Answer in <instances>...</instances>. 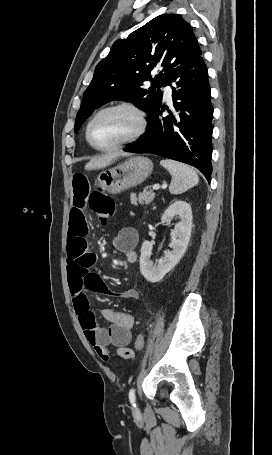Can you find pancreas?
Returning a JSON list of instances; mask_svg holds the SVG:
<instances>
[{
    "label": "pancreas",
    "mask_w": 272,
    "mask_h": 455,
    "mask_svg": "<svg viewBox=\"0 0 272 455\" xmlns=\"http://www.w3.org/2000/svg\"><path fill=\"white\" fill-rule=\"evenodd\" d=\"M155 198V193L149 189H145L142 193H139L138 197L134 194L131 196V203L137 205V203L143 204H150L151 201Z\"/></svg>",
    "instance_id": "obj_1"
}]
</instances>
